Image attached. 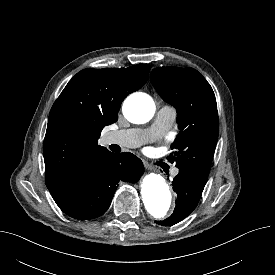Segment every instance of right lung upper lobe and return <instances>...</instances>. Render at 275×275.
<instances>
[{"label": "right lung upper lobe", "instance_id": "right-lung-upper-lobe-1", "mask_svg": "<svg viewBox=\"0 0 275 275\" xmlns=\"http://www.w3.org/2000/svg\"><path fill=\"white\" fill-rule=\"evenodd\" d=\"M150 68H88L69 81L51 108L44 139L49 191L79 165L107 151L97 143L102 129L117 121L122 101L146 83Z\"/></svg>", "mask_w": 275, "mask_h": 275}]
</instances>
